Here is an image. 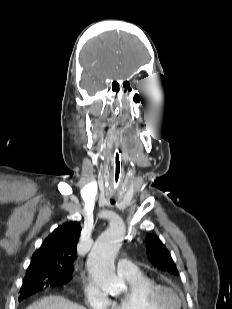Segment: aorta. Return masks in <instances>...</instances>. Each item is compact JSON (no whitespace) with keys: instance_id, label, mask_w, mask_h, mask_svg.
Segmentation results:
<instances>
[{"instance_id":"obj_1","label":"aorta","mask_w":232,"mask_h":309,"mask_svg":"<svg viewBox=\"0 0 232 309\" xmlns=\"http://www.w3.org/2000/svg\"><path fill=\"white\" fill-rule=\"evenodd\" d=\"M125 228L123 223L111 224L94 243L87 259L88 271L96 284L112 296H119L125 289L124 280L114 268V259L118 253Z\"/></svg>"}]
</instances>
